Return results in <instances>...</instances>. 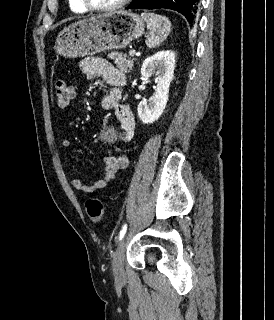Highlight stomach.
Returning <instances> with one entry per match:
<instances>
[{
	"label": "stomach",
	"instance_id": "obj_1",
	"mask_svg": "<svg viewBox=\"0 0 274 320\" xmlns=\"http://www.w3.org/2000/svg\"><path fill=\"white\" fill-rule=\"evenodd\" d=\"M143 18L132 12L91 16L64 28L57 36L55 50L64 58H84L105 50H122L144 34Z\"/></svg>",
	"mask_w": 274,
	"mask_h": 320
}]
</instances>
